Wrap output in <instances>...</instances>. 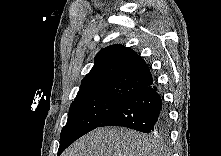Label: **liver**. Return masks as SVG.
Masks as SVG:
<instances>
[{
	"mask_svg": "<svg viewBox=\"0 0 221 156\" xmlns=\"http://www.w3.org/2000/svg\"><path fill=\"white\" fill-rule=\"evenodd\" d=\"M160 143L143 133L122 128H97L73 143L62 156H160Z\"/></svg>",
	"mask_w": 221,
	"mask_h": 156,
	"instance_id": "6515ba94",
	"label": "liver"
}]
</instances>
